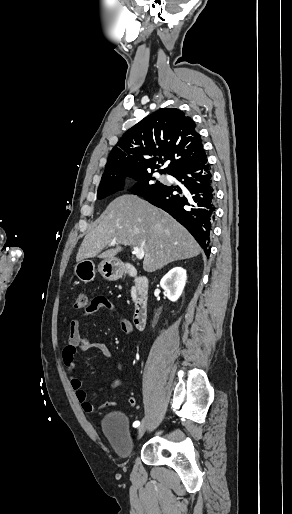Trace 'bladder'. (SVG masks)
Returning <instances> with one entry per match:
<instances>
[{
    "mask_svg": "<svg viewBox=\"0 0 292 514\" xmlns=\"http://www.w3.org/2000/svg\"><path fill=\"white\" fill-rule=\"evenodd\" d=\"M102 430L114 451L120 457H128L133 444L130 437L129 421L127 416L121 411H113L104 417Z\"/></svg>",
    "mask_w": 292,
    "mask_h": 514,
    "instance_id": "obj_1",
    "label": "bladder"
}]
</instances>
